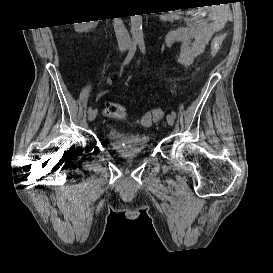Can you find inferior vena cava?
<instances>
[{
    "instance_id": "inferior-vena-cava-1",
    "label": "inferior vena cava",
    "mask_w": 273,
    "mask_h": 273,
    "mask_svg": "<svg viewBox=\"0 0 273 273\" xmlns=\"http://www.w3.org/2000/svg\"><path fill=\"white\" fill-rule=\"evenodd\" d=\"M114 29L119 47H129L131 44L130 37L121 20V17L114 18Z\"/></svg>"
}]
</instances>
